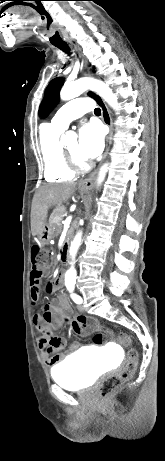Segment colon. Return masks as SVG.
Here are the masks:
<instances>
[{
  "label": "colon",
  "mask_w": 165,
  "mask_h": 461,
  "mask_svg": "<svg viewBox=\"0 0 165 461\" xmlns=\"http://www.w3.org/2000/svg\"><path fill=\"white\" fill-rule=\"evenodd\" d=\"M31 280L39 283L45 268L48 265V253L41 246H34L31 250ZM119 341L122 345L129 346L131 338L126 333L119 334ZM138 365V351L130 348L127 352V363L125 366L113 375L106 376L99 387V394L102 399L109 398L113 393L118 391L124 383L130 380Z\"/></svg>",
  "instance_id": "5ec220e1"
}]
</instances>
